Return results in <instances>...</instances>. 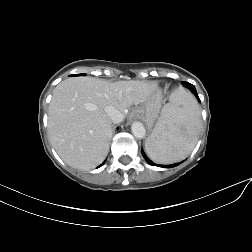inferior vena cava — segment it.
<instances>
[{
    "label": "inferior vena cava",
    "instance_id": "inferior-vena-cava-1",
    "mask_svg": "<svg viewBox=\"0 0 252 252\" xmlns=\"http://www.w3.org/2000/svg\"><path fill=\"white\" fill-rule=\"evenodd\" d=\"M105 112L110 117L113 123H119L123 120L122 113L115 109L113 106L105 107Z\"/></svg>",
    "mask_w": 252,
    "mask_h": 252
}]
</instances>
